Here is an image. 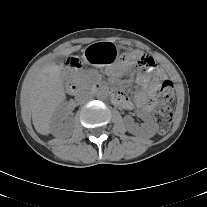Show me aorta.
Returning <instances> with one entry per match:
<instances>
[{"instance_id": "obj_1", "label": "aorta", "mask_w": 207, "mask_h": 207, "mask_svg": "<svg viewBox=\"0 0 207 207\" xmlns=\"http://www.w3.org/2000/svg\"><path fill=\"white\" fill-rule=\"evenodd\" d=\"M96 97L99 100H106L108 97V93H107V91L101 89L96 93Z\"/></svg>"}]
</instances>
